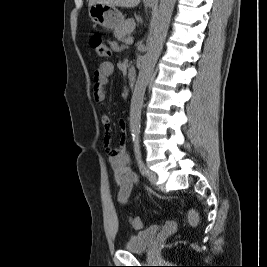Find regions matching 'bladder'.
Listing matches in <instances>:
<instances>
[{
  "label": "bladder",
  "mask_w": 267,
  "mask_h": 267,
  "mask_svg": "<svg viewBox=\"0 0 267 267\" xmlns=\"http://www.w3.org/2000/svg\"><path fill=\"white\" fill-rule=\"evenodd\" d=\"M159 231L160 227L157 225L141 230L128 238L124 248L135 253L145 252L153 244Z\"/></svg>",
  "instance_id": "bladder-1"
}]
</instances>
